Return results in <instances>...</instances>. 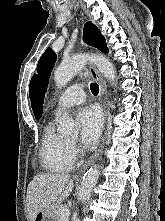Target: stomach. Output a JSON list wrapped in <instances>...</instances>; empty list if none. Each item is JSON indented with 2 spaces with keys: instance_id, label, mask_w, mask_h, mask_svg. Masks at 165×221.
I'll return each instance as SVG.
<instances>
[{
  "instance_id": "1",
  "label": "stomach",
  "mask_w": 165,
  "mask_h": 221,
  "mask_svg": "<svg viewBox=\"0 0 165 221\" xmlns=\"http://www.w3.org/2000/svg\"><path fill=\"white\" fill-rule=\"evenodd\" d=\"M34 221H56L55 205L51 204L39 211Z\"/></svg>"
}]
</instances>
